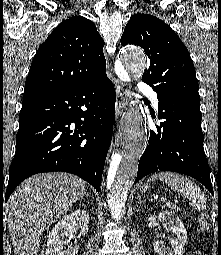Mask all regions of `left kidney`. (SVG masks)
Wrapping results in <instances>:
<instances>
[{
    "label": "left kidney",
    "mask_w": 221,
    "mask_h": 255,
    "mask_svg": "<svg viewBox=\"0 0 221 255\" xmlns=\"http://www.w3.org/2000/svg\"><path fill=\"white\" fill-rule=\"evenodd\" d=\"M156 218L168 225V229L172 233L173 238L170 240L171 249L165 247L162 242L156 241L154 243L155 252L158 255H182L187 241V231L180 218L165 211L158 216L151 215L147 220L154 221Z\"/></svg>",
    "instance_id": "5707ae66"
}]
</instances>
